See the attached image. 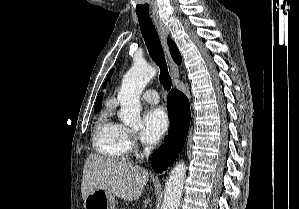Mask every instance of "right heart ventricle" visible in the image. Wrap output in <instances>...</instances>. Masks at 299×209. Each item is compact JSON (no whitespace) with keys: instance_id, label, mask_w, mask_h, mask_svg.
Here are the masks:
<instances>
[{"instance_id":"obj_1","label":"right heart ventricle","mask_w":299,"mask_h":209,"mask_svg":"<svg viewBox=\"0 0 299 209\" xmlns=\"http://www.w3.org/2000/svg\"><path fill=\"white\" fill-rule=\"evenodd\" d=\"M95 150L111 158L122 159L130 151L125 127L112 120L110 115L100 119L93 134Z\"/></svg>"}]
</instances>
